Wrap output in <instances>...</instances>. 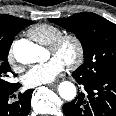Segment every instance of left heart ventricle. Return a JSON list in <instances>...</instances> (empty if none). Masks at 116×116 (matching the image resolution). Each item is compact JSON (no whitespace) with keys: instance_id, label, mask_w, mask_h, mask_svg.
Segmentation results:
<instances>
[{"instance_id":"obj_1","label":"left heart ventricle","mask_w":116,"mask_h":116,"mask_svg":"<svg viewBox=\"0 0 116 116\" xmlns=\"http://www.w3.org/2000/svg\"><path fill=\"white\" fill-rule=\"evenodd\" d=\"M51 54H54L56 56H59L60 58H62L65 62L73 57L74 55V47L71 43H68L64 46V48L58 52V53H53L51 50H50Z\"/></svg>"}]
</instances>
